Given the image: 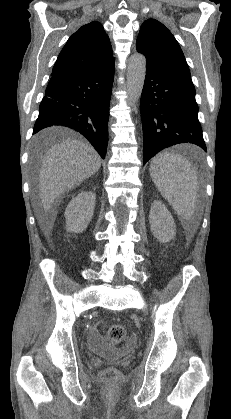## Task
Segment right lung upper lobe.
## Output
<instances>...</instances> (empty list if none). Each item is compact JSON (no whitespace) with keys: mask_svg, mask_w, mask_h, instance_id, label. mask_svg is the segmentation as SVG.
Returning a JSON list of instances; mask_svg holds the SVG:
<instances>
[{"mask_svg":"<svg viewBox=\"0 0 231 419\" xmlns=\"http://www.w3.org/2000/svg\"><path fill=\"white\" fill-rule=\"evenodd\" d=\"M113 63L108 35L99 22L93 21L68 39L55 62L52 75L92 72Z\"/></svg>","mask_w":231,"mask_h":419,"instance_id":"obj_1","label":"right lung upper lobe"}]
</instances>
